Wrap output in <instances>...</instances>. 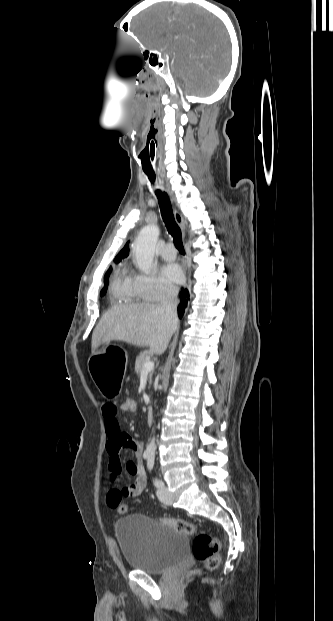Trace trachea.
Returning <instances> with one entry per match:
<instances>
[{
    "mask_svg": "<svg viewBox=\"0 0 333 621\" xmlns=\"http://www.w3.org/2000/svg\"><path fill=\"white\" fill-rule=\"evenodd\" d=\"M145 173L148 176V179L150 180V182L154 183L155 174L154 173L152 174L149 172H145ZM156 195L159 199L161 215L165 223V226L167 228V231L169 232V234L172 235L174 244L176 248L179 250V252L184 253L181 230L175 221L169 196L166 192H162L161 190L156 191Z\"/></svg>",
    "mask_w": 333,
    "mask_h": 621,
    "instance_id": "obj_1",
    "label": "trachea"
}]
</instances>
